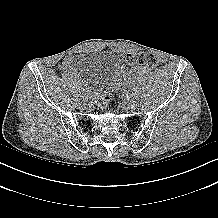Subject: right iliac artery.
Here are the masks:
<instances>
[{
  "mask_svg": "<svg viewBox=\"0 0 218 218\" xmlns=\"http://www.w3.org/2000/svg\"><path fill=\"white\" fill-rule=\"evenodd\" d=\"M84 93H87V92H85V90H80V95L83 96Z\"/></svg>",
  "mask_w": 218,
  "mask_h": 218,
  "instance_id": "82829eb1",
  "label": "right iliac artery"
}]
</instances>
